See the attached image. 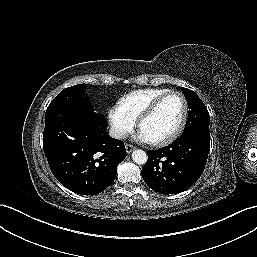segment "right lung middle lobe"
Instances as JSON below:
<instances>
[{
    "label": "right lung middle lobe",
    "mask_w": 257,
    "mask_h": 257,
    "mask_svg": "<svg viewBox=\"0 0 257 257\" xmlns=\"http://www.w3.org/2000/svg\"><path fill=\"white\" fill-rule=\"evenodd\" d=\"M85 90L86 84H78L65 88L53 99L48 108L60 105H81L92 107Z\"/></svg>",
    "instance_id": "1"
}]
</instances>
